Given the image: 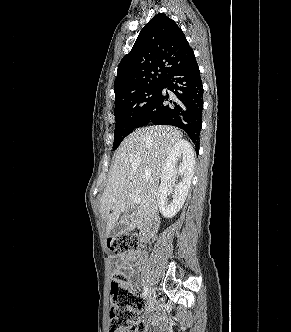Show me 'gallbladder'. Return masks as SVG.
Segmentation results:
<instances>
[{"instance_id": "gallbladder-1", "label": "gallbladder", "mask_w": 291, "mask_h": 332, "mask_svg": "<svg viewBox=\"0 0 291 332\" xmlns=\"http://www.w3.org/2000/svg\"><path fill=\"white\" fill-rule=\"evenodd\" d=\"M130 218V213H125L122 218L115 224L109 235L111 237H116L120 234L127 233L134 229Z\"/></svg>"}]
</instances>
